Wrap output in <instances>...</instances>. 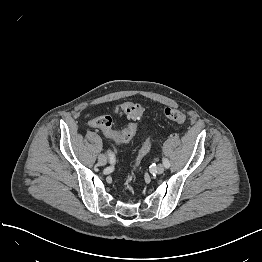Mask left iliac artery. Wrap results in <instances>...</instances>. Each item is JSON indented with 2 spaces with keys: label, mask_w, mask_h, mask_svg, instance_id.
<instances>
[{
  "label": "left iliac artery",
  "mask_w": 262,
  "mask_h": 262,
  "mask_svg": "<svg viewBox=\"0 0 262 262\" xmlns=\"http://www.w3.org/2000/svg\"><path fill=\"white\" fill-rule=\"evenodd\" d=\"M163 164L166 168H169L170 167V162L168 161V159L166 158H163Z\"/></svg>",
  "instance_id": "obj_1"
}]
</instances>
